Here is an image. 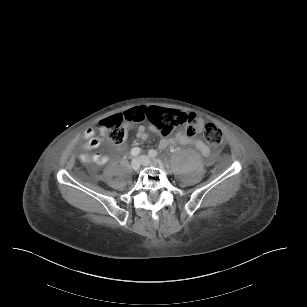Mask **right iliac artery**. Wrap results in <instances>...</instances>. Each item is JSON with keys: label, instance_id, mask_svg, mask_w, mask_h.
Here are the masks:
<instances>
[{"label": "right iliac artery", "instance_id": "1", "mask_svg": "<svg viewBox=\"0 0 307 307\" xmlns=\"http://www.w3.org/2000/svg\"><path fill=\"white\" fill-rule=\"evenodd\" d=\"M140 148H138V147H135V148H133L132 150H131V155L132 156H137L139 153H140Z\"/></svg>", "mask_w": 307, "mask_h": 307}]
</instances>
